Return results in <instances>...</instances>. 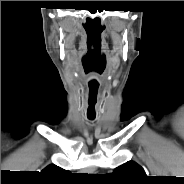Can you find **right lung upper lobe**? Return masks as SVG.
Wrapping results in <instances>:
<instances>
[{"instance_id":"1","label":"right lung upper lobe","mask_w":184,"mask_h":184,"mask_svg":"<svg viewBox=\"0 0 184 184\" xmlns=\"http://www.w3.org/2000/svg\"><path fill=\"white\" fill-rule=\"evenodd\" d=\"M42 173L50 178L51 180H59L61 177L66 176L67 171L63 170L62 168L52 164L42 170Z\"/></svg>"}]
</instances>
